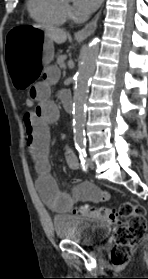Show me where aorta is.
<instances>
[{"label": "aorta", "mask_w": 148, "mask_h": 279, "mask_svg": "<svg viewBox=\"0 0 148 279\" xmlns=\"http://www.w3.org/2000/svg\"><path fill=\"white\" fill-rule=\"evenodd\" d=\"M99 53L98 39H94L85 47L79 65L73 95V127L77 145H84V124L86 121L85 106L90 79L95 71Z\"/></svg>", "instance_id": "1"}]
</instances>
